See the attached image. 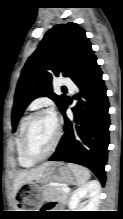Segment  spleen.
<instances>
[{
  "label": "spleen",
  "mask_w": 123,
  "mask_h": 219,
  "mask_svg": "<svg viewBox=\"0 0 123 219\" xmlns=\"http://www.w3.org/2000/svg\"><path fill=\"white\" fill-rule=\"evenodd\" d=\"M68 166L74 173L78 185L85 184L90 179V172L87 168L69 163Z\"/></svg>",
  "instance_id": "obj_1"
}]
</instances>
